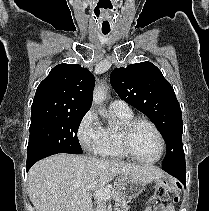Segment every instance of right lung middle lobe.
Here are the masks:
<instances>
[{
    "label": "right lung middle lobe",
    "instance_id": "dd1d6c3e",
    "mask_svg": "<svg viewBox=\"0 0 209 211\" xmlns=\"http://www.w3.org/2000/svg\"><path fill=\"white\" fill-rule=\"evenodd\" d=\"M84 115L31 116L27 165L57 153H82L77 131Z\"/></svg>",
    "mask_w": 209,
    "mask_h": 211
}]
</instances>
